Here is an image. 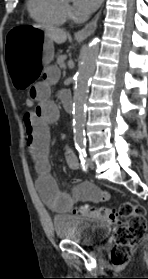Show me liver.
<instances>
[{"instance_id":"liver-1","label":"liver","mask_w":148,"mask_h":279,"mask_svg":"<svg viewBox=\"0 0 148 279\" xmlns=\"http://www.w3.org/2000/svg\"><path fill=\"white\" fill-rule=\"evenodd\" d=\"M33 27L42 29L46 36L57 44H62L67 39V33L60 28L53 26L33 25Z\"/></svg>"}]
</instances>
